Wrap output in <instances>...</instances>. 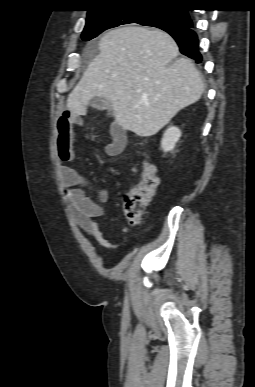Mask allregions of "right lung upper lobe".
Returning a JSON list of instances; mask_svg holds the SVG:
<instances>
[{
	"label": "right lung upper lobe",
	"mask_w": 255,
	"mask_h": 387,
	"mask_svg": "<svg viewBox=\"0 0 255 387\" xmlns=\"http://www.w3.org/2000/svg\"><path fill=\"white\" fill-rule=\"evenodd\" d=\"M92 6L88 10L87 16L107 11L115 8H126V7H184L188 0H91ZM182 16L188 20L186 26L192 25V21L189 15L185 12L187 10L180 9ZM168 28V27H164Z\"/></svg>",
	"instance_id": "obj_1"
}]
</instances>
